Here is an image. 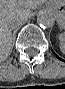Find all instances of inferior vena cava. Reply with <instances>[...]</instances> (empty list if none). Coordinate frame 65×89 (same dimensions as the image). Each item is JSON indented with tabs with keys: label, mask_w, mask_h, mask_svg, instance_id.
Segmentation results:
<instances>
[{
	"label": "inferior vena cava",
	"mask_w": 65,
	"mask_h": 89,
	"mask_svg": "<svg viewBox=\"0 0 65 89\" xmlns=\"http://www.w3.org/2000/svg\"><path fill=\"white\" fill-rule=\"evenodd\" d=\"M25 19H27V18H26V17H22L21 19L17 20V21L13 24V26L19 24L20 21H24Z\"/></svg>",
	"instance_id": "inferior-vena-cava-1"
}]
</instances>
